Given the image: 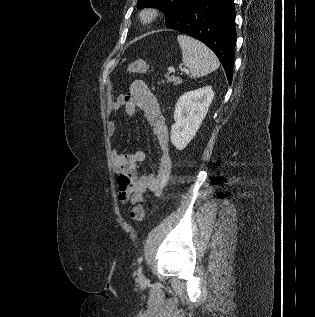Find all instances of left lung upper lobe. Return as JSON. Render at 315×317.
Wrapping results in <instances>:
<instances>
[{"instance_id":"obj_1","label":"left lung upper lobe","mask_w":315,"mask_h":317,"mask_svg":"<svg viewBox=\"0 0 315 317\" xmlns=\"http://www.w3.org/2000/svg\"><path fill=\"white\" fill-rule=\"evenodd\" d=\"M195 0H138L137 7L158 8L166 14V26L177 24Z\"/></svg>"}]
</instances>
